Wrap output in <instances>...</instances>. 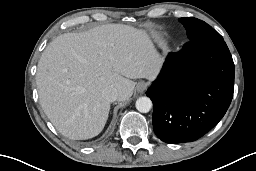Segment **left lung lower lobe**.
<instances>
[{
  "mask_svg": "<svg viewBox=\"0 0 256 171\" xmlns=\"http://www.w3.org/2000/svg\"><path fill=\"white\" fill-rule=\"evenodd\" d=\"M234 89V63L223 39L189 41L171 52L147 90L153 129L166 143L192 142L225 115Z\"/></svg>",
  "mask_w": 256,
  "mask_h": 171,
  "instance_id": "0a47b994",
  "label": "left lung lower lobe"
}]
</instances>
